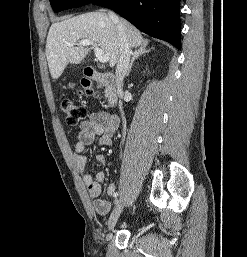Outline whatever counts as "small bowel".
<instances>
[{"instance_id": "1", "label": "small bowel", "mask_w": 247, "mask_h": 257, "mask_svg": "<svg viewBox=\"0 0 247 257\" xmlns=\"http://www.w3.org/2000/svg\"><path fill=\"white\" fill-rule=\"evenodd\" d=\"M118 118L115 115L106 112H94L87 120H85L78 133L77 141L74 146V156L78 169L83 172L87 165V160L84 155L85 148L91 145L95 138L98 136V144L100 146H110L112 144V137L118 128ZM99 164L106 165V157L102 154L96 157ZM105 179V172L99 171L94 176L85 174L83 176L84 183L86 184L91 198L93 199V206L95 211L100 215H106L111 209V202L100 199L101 186L100 184ZM116 185L110 183L107 186V194L115 197Z\"/></svg>"}]
</instances>
